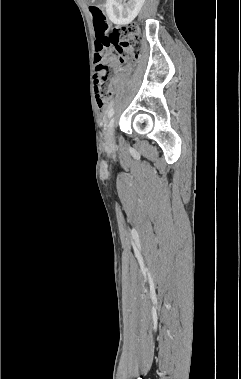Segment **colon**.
<instances>
[{
	"instance_id": "colon-1",
	"label": "colon",
	"mask_w": 241,
	"mask_h": 379,
	"mask_svg": "<svg viewBox=\"0 0 241 379\" xmlns=\"http://www.w3.org/2000/svg\"><path fill=\"white\" fill-rule=\"evenodd\" d=\"M93 15L94 29L98 36L95 53L94 89L97 104L106 110L112 102L111 67L116 62L117 55L129 53L137 57L142 45L139 28L135 23H128L113 30L110 37H103L107 29L105 9L101 5L90 8Z\"/></svg>"
}]
</instances>
